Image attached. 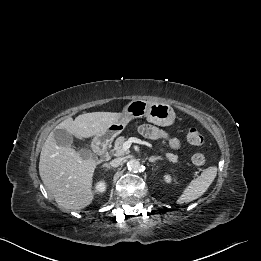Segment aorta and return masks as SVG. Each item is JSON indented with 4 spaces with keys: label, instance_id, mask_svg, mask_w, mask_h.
<instances>
[{
    "label": "aorta",
    "instance_id": "1",
    "mask_svg": "<svg viewBox=\"0 0 261 261\" xmlns=\"http://www.w3.org/2000/svg\"><path fill=\"white\" fill-rule=\"evenodd\" d=\"M128 169L134 172H138L141 168V164L136 159H129L127 162Z\"/></svg>",
    "mask_w": 261,
    "mask_h": 261
}]
</instances>
